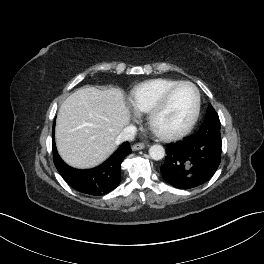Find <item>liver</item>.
<instances>
[{
	"instance_id": "liver-1",
	"label": "liver",
	"mask_w": 264,
	"mask_h": 264,
	"mask_svg": "<svg viewBox=\"0 0 264 264\" xmlns=\"http://www.w3.org/2000/svg\"><path fill=\"white\" fill-rule=\"evenodd\" d=\"M129 121L130 111L120 89L80 88L59 108L58 152L72 167L96 166L116 150V138Z\"/></svg>"
}]
</instances>
